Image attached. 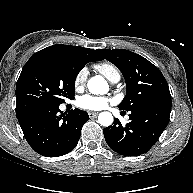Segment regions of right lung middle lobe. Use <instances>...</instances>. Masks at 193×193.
Here are the masks:
<instances>
[{
  "label": "right lung middle lobe",
  "mask_w": 193,
  "mask_h": 193,
  "mask_svg": "<svg viewBox=\"0 0 193 193\" xmlns=\"http://www.w3.org/2000/svg\"><path fill=\"white\" fill-rule=\"evenodd\" d=\"M87 62L62 56L30 58L16 84V115L74 98L75 80Z\"/></svg>",
  "instance_id": "obj_1"
}]
</instances>
